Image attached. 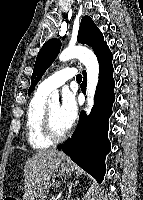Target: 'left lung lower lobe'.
Here are the masks:
<instances>
[{
    "label": "left lung lower lobe",
    "mask_w": 143,
    "mask_h": 200,
    "mask_svg": "<svg viewBox=\"0 0 143 200\" xmlns=\"http://www.w3.org/2000/svg\"><path fill=\"white\" fill-rule=\"evenodd\" d=\"M96 56L99 62L100 76L92 112L88 118L84 111L81 112L77 129L72 137L58 149H62L98 182H102L105 175V156L111 150L107 131L108 119L112 114V105L115 100V82L113 80V56L107 44L96 53ZM83 75L84 81L81 89L85 94L87 84L85 71H83Z\"/></svg>",
    "instance_id": "0a47b994"
}]
</instances>
